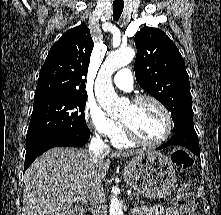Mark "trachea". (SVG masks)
I'll return each instance as SVG.
<instances>
[{"instance_id": "1", "label": "trachea", "mask_w": 221, "mask_h": 215, "mask_svg": "<svg viewBox=\"0 0 221 215\" xmlns=\"http://www.w3.org/2000/svg\"><path fill=\"white\" fill-rule=\"evenodd\" d=\"M124 4L113 3V19L118 21L122 12H123Z\"/></svg>"}]
</instances>
